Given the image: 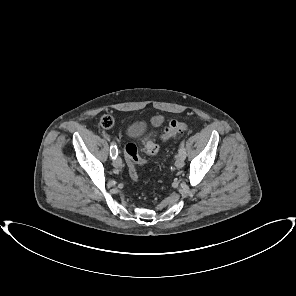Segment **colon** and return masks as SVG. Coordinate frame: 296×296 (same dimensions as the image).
Masks as SVG:
<instances>
[{"instance_id": "obj_1", "label": "colon", "mask_w": 296, "mask_h": 296, "mask_svg": "<svg viewBox=\"0 0 296 296\" xmlns=\"http://www.w3.org/2000/svg\"><path fill=\"white\" fill-rule=\"evenodd\" d=\"M100 123L103 128L109 129L113 126L114 122L112 117L107 115L101 119ZM188 129V124L173 120L160 135V140L165 142ZM146 151L150 156H156L160 151V145L154 141H149L146 144ZM123 153L127 162L129 176L134 182H137V167L146 164V162L139 156L137 146L134 143L129 142L125 144Z\"/></svg>"}]
</instances>
